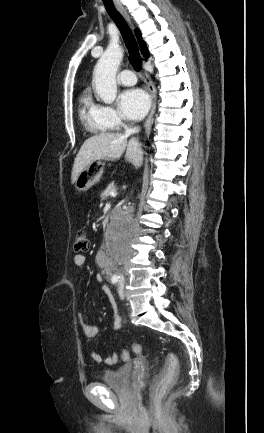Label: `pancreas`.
<instances>
[{
    "instance_id": "cf45deb5",
    "label": "pancreas",
    "mask_w": 264,
    "mask_h": 433,
    "mask_svg": "<svg viewBox=\"0 0 264 433\" xmlns=\"http://www.w3.org/2000/svg\"><path fill=\"white\" fill-rule=\"evenodd\" d=\"M111 192H116V186H115L114 182H111L106 187V189L104 190V192L101 194L102 200H105L108 196H110Z\"/></svg>"
}]
</instances>
